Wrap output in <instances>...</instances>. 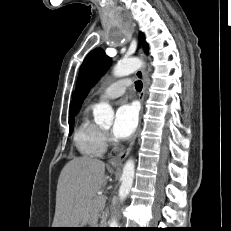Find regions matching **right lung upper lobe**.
I'll return each mask as SVG.
<instances>
[{
  "label": "right lung upper lobe",
  "instance_id": "right-lung-upper-lobe-1",
  "mask_svg": "<svg viewBox=\"0 0 231 231\" xmlns=\"http://www.w3.org/2000/svg\"><path fill=\"white\" fill-rule=\"evenodd\" d=\"M69 115H70V116H69V119H70V118H73V115H72V105L70 106Z\"/></svg>",
  "mask_w": 231,
  "mask_h": 231
}]
</instances>
